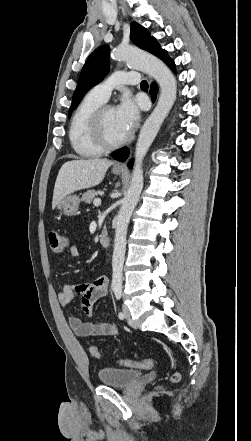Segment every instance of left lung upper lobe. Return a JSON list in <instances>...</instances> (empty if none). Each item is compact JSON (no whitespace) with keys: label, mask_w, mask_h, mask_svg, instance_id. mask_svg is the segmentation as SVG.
Returning a JSON list of instances; mask_svg holds the SVG:
<instances>
[{"label":"left lung upper lobe","mask_w":251,"mask_h":441,"mask_svg":"<svg viewBox=\"0 0 251 441\" xmlns=\"http://www.w3.org/2000/svg\"><path fill=\"white\" fill-rule=\"evenodd\" d=\"M131 40L141 49L146 50L158 58H162L166 51L161 49L154 37L137 22L131 23ZM109 71V46L97 48L85 62L78 83L73 94L69 114L76 109L83 96L96 84L103 80Z\"/></svg>","instance_id":"obj_1"}]
</instances>
